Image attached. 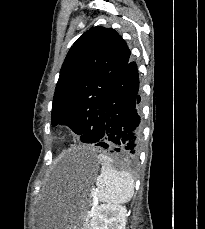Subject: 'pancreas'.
Segmentation results:
<instances>
[{
  "mask_svg": "<svg viewBox=\"0 0 205 229\" xmlns=\"http://www.w3.org/2000/svg\"><path fill=\"white\" fill-rule=\"evenodd\" d=\"M89 226L88 222L85 224V228L84 229H87V227Z\"/></svg>",
  "mask_w": 205,
  "mask_h": 229,
  "instance_id": "cf45deb5",
  "label": "pancreas"
}]
</instances>
